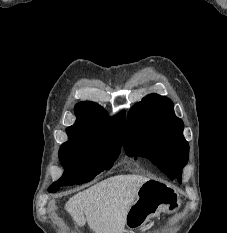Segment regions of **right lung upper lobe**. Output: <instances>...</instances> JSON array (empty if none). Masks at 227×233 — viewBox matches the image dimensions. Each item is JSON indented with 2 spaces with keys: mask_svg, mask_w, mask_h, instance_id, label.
I'll return each mask as SVG.
<instances>
[{
  "mask_svg": "<svg viewBox=\"0 0 227 233\" xmlns=\"http://www.w3.org/2000/svg\"><path fill=\"white\" fill-rule=\"evenodd\" d=\"M76 122L66 129L69 139L82 142H97L116 137L123 141L126 115L121 111L109 118L100 105L80 102L75 106Z\"/></svg>",
  "mask_w": 227,
  "mask_h": 233,
  "instance_id": "1",
  "label": "right lung upper lobe"
}]
</instances>
